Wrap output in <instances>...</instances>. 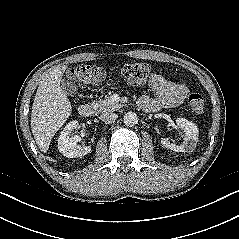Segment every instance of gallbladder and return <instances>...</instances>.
Listing matches in <instances>:
<instances>
[{"label": "gallbladder", "instance_id": "1", "mask_svg": "<svg viewBox=\"0 0 239 239\" xmlns=\"http://www.w3.org/2000/svg\"><path fill=\"white\" fill-rule=\"evenodd\" d=\"M61 87L63 89V91L67 94V95H73L76 93L77 91V87L74 84V82L68 80V79H62L61 81Z\"/></svg>", "mask_w": 239, "mask_h": 239}]
</instances>
